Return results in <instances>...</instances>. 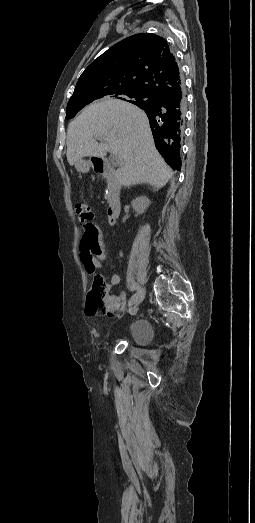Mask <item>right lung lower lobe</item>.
I'll list each match as a JSON object with an SVG mask.
<instances>
[{
	"label": "right lung lower lobe",
	"instance_id": "right-lung-lower-lobe-1",
	"mask_svg": "<svg viewBox=\"0 0 255 523\" xmlns=\"http://www.w3.org/2000/svg\"><path fill=\"white\" fill-rule=\"evenodd\" d=\"M182 106V99L179 96L166 98L159 101L152 111V118L159 122L157 124L158 140L163 144H170L175 137L178 128L177 111ZM181 170L180 169L178 171Z\"/></svg>",
	"mask_w": 255,
	"mask_h": 523
}]
</instances>
